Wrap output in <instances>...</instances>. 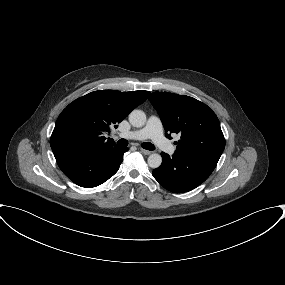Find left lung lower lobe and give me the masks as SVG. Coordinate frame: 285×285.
<instances>
[{
    "label": "left lung lower lobe",
    "mask_w": 285,
    "mask_h": 285,
    "mask_svg": "<svg viewBox=\"0 0 285 285\" xmlns=\"http://www.w3.org/2000/svg\"><path fill=\"white\" fill-rule=\"evenodd\" d=\"M162 164L153 170L154 178L167 190L182 193L203 183L216 166L204 161L174 153L172 157L162 152Z\"/></svg>",
    "instance_id": "left-lung-lower-lobe-1"
}]
</instances>
